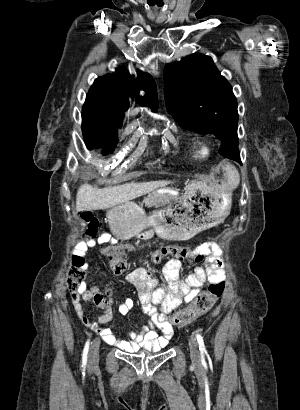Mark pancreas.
<instances>
[{"label": "pancreas", "instance_id": "cf45deb5", "mask_svg": "<svg viewBox=\"0 0 300 410\" xmlns=\"http://www.w3.org/2000/svg\"><path fill=\"white\" fill-rule=\"evenodd\" d=\"M175 196L166 193H158V197L153 201L150 202L147 198L144 199V203L148 206H163L170 201L174 200Z\"/></svg>", "mask_w": 300, "mask_h": 410}]
</instances>
